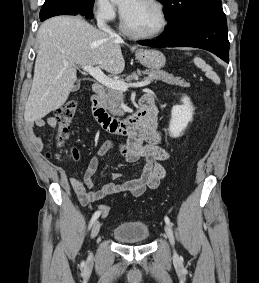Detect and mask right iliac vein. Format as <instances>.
<instances>
[{
  "label": "right iliac vein",
  "mask_w": 259,
  "mask_h": 283,
  "mask_svg": "<svg viewBox=\"0 0 259 283\" xmlns=\"http://www.w3.org/2000/svg\"><path fill=\"white\" fill-rule=\"evenodd\" d=\"M100 227H101L100 221H96L91 230V238H95L98 235Z\"/></svg>",
  "instance_id": "1"
}]
</instances>
